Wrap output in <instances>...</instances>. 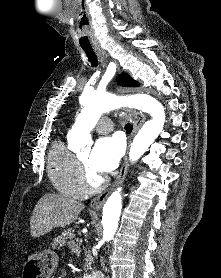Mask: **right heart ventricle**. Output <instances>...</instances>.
I'll return each mask as SVG.
<instances>
[{
  "mask_svg": "<svg viewBox=\"0 0 221 278\" xmlns=\"http://www.w3.org/2000/svg\"><path fill=\"white\" fill-rule=\"evenodd\" d=\"M47 165L51 183L60 194L74 199L85 195L78 157L62 140L52 145Z\"/></svg>",
  "mask_w": 221,
  "mask_h": 278,
  "instance_id": "obj_1",
  "label": "right heart ventricle"
}]
</instances>
